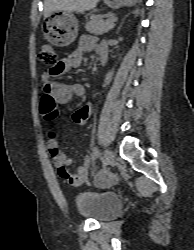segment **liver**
<instances>
[{
	"label": "liver",
	"instance_id": "obj_1",
	"mask_svg": "<svg viewBox=\"0 0 194 250\" xmlns=\"http://www.w3.org/2000/svg\"><path fill=\"white\" fill-rule=\"evenodd\" d=\"M99 0H45L44 18L57 10L84 12L94 9Z\"/></svg>",
	"mask_w": 194,
	"mask_h": 250
}]
</instances>
